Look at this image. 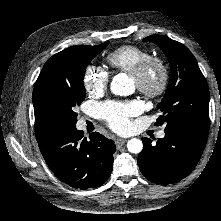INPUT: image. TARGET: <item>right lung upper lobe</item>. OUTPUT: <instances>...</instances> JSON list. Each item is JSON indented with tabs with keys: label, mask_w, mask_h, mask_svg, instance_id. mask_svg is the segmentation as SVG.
Returning a JSON list of instances; mask_svg holds the SVG:
<instances>
[{
	"label": "right lung upper lobe",
	"mask_w": 221,
	"mask_h": 221,
	"mask_svg": "<svg viewBox=\"0 0 221 221\" xmlns=\"http://www.w3.org/2000/svg\"><path fill=\"white\" fill-rule=\"evenodd\" d=\"M79 48V46H72L69 47L54 56H52L44 65L33 90L32 94V101L34 106V113H35V134L37 141H41L46 136H48L53 131L60 128L59 124V118L56 112L52 109L50 105H48L44 99L41 97L39 92V84L48 70V68L52 65V63L60 58L64 57L66 55H69L76 51Z\"/></svg>",
	"instance_id": "cb5924a9"
}]
</instances>
